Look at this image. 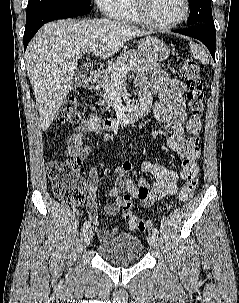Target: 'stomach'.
Returning <instances> with one entry per match:
<instances>
[{
    "mask_svg": "<svg viewBox=\"0 0 239 303\" xmlns=\"http://www.w3.org/2000/svg\"><path fill=\"white\" fill-rule=\"evenodd\" d=\"M137 45L139 52L145 58L155 62L167 59L170 54L169 46L157 37H143L138 41Z\"/></svg>",
    "mask_w": 239,
    "mask_h": 303,
    "instance_id": "stomach-1",
    "label": "stomach"
}]
</instances>
